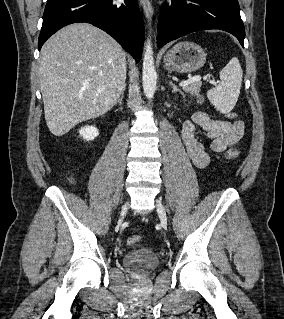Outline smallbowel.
Instances as JSON below:
<instances>
[{
	"label": "small bowel",
	"mask_w": 284,
	"mask_h": 319,
	"mask_svg": "<svg viewBox=\"0 0 284 319\" xmlns=\"http://www.w3.org/2000/svg\"><path fill=\"white\" fill-rule=\"evenodd\" d=\"M199 131L211 141L212 151L220 153L242 139L244 123L241 120L229 122L213 119L207 113L197 111L182 124L181 136L187 154L195 166L204 168L209 164L210 156L198 136Z\"/></svg>",
	"instance_id": "c3829d8e"
}]
</instances>
